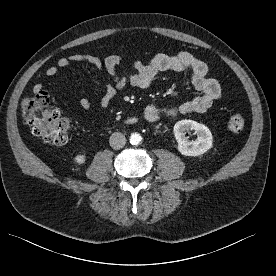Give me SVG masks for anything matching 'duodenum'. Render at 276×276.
Masks as SVG:
<instances>
[{
    "mask_svg": "<svg viewBox=\"0 0 276 276\" xmlns=\"http://www.w3.org/2000/svg\"><path fill=\"white\" fill-rule=\"evenodd\" d=\"M136 122H137V119L135 117H131V118L127 119L126 124L133 125Z\"/></svg>",
    "mask_w": 276,
    "mask_h": 276,
    "instance_id": "duodenum-1",
    "label": "duodenum"
}]
</instances>
